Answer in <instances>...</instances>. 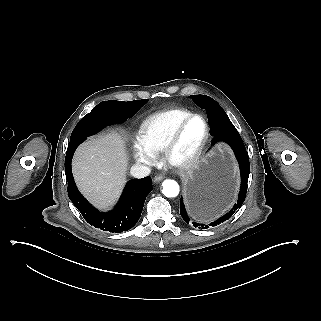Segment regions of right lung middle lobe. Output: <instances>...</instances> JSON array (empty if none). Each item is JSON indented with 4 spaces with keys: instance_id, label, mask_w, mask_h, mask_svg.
I'll return each mask as SVG.
<instances>
[{
    "instance_id": "1",
    "label": "right lung middle lobe",
    "mask_w": 321,
    "mask_h": 321,
    "mask_svg": "<svg viewBox=\"0 0 321 321\" xmlns=\"http://www.w3.org/2000/svg\"><path fill=\"white\" fill-rule=\"evenodd\" d=\"M106 102L108 101H104L98 104L89 114H87L85 117H83V119L79 121L71 134L70 140L83 135H93L105 127L101 119L96 115V109ZM130 103L140 108L147 103V99L135 100L131 101Z\"/></svg>"
}]
</instances>
